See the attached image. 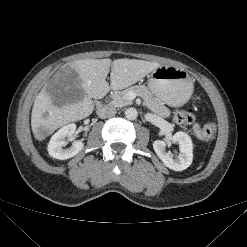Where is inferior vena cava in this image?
Instances as JSON below:
<instances>
[{"label": "inferior vena cava", "mask_w": 247, "mask_h": 247, "mask_svg": "<svg viewBox=\"0 0 247 247\" xmlns=\"http://www.w3.org/2000/svg\"><path fill=\"white\" fill-rule=\"evenodd\" d=\"M100 118H109L116 114V108L110 105H105L97 110Z\"/></svg>", "instance_id": "602c4592"}]
</instances>
